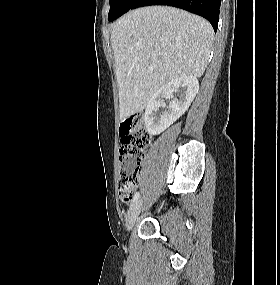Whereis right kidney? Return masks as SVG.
<instances>
[{
	"label": "right kidney",
	"instance_id": "right-kidney-1",
	"mask_svg": "<svg viewBox=\"0 0 280 285\" xmlns=\"http://www.w3.org/2000/svg\"><path fill=\"white\" fill-rule=\"evenodd\" d=\"M184 88L180 99H174L169 103L162 115L157 117L155 112L160 107H165L164 98H173V92ZM199 90V82L194 76H181L158 89L149 100L144 114L147 131L152 135H158L171 126L189 108Z\"/></svg>",
	"mask_w": 280,
	"mask_h": 285
}]
</instances>
